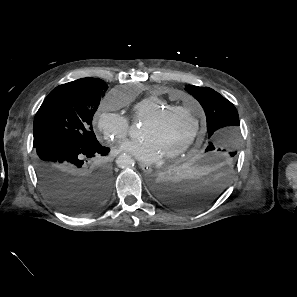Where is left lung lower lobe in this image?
<instances>
[{"mask_svg":"<svg viewBox=\"0 0 297 297\" xmlns=\"http://www.w3.org/2000/svg\"><path fill=\"white\" fill-rule=\"evenodd\" d=\"M235 160L220 152L194 156L169 173H161L153 183L157 198L185 212L199 211L215 202L231 181Z\"/></svg>","mask_w":297,"mask_h":297,"instance_id":"left-lung-lower-lobe-1","label":"left lung lower lobe"}]
</instances>
